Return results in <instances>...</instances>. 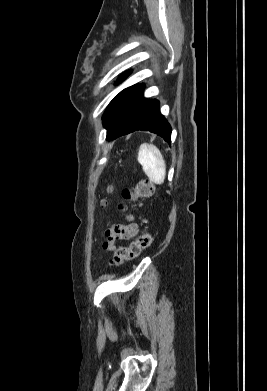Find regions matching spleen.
Returning <instances> with one entry per match:
<instances>
[{"label":"spleen","mask_w":267,"mask_h":391,"mask_svg":"<svg viewBox=\"0 0 267 391\" xmlns=\"http://www.w3.org/2000/svg\"><path fill=\"white\" fill-rule=\"evenodd\" d=\"M138 162L149 180L162 184L166 177V164L160 150L148 143L141 144L138 152Z\"/></svg>","instance_id":"obj_1"}]
</instances>
